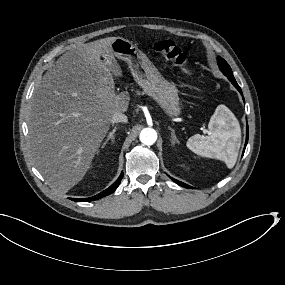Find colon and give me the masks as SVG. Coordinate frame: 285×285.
<instances>
[{
  "label": "colon",
  "instance_id": "1",
  "mask_svg": "<svg viewBox=\"0 0 285 285\" xmlns=\"http://www.w3.org/2000/svg\"><path fill=\"white\" fill-rule=\"evenodd\" d=\"M153 50L177 67L189 72L187 57L171 39H163L153 44Z\"/></svg>",
  "mask_w": 285,
  "mask_h": 285
}]
</instances>
